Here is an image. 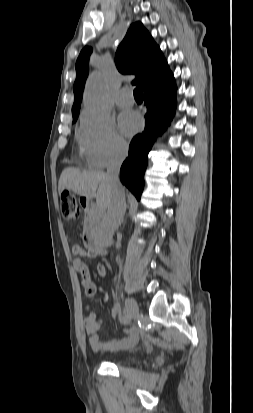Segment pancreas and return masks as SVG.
<instances>
[{
	"mask_svg": "<svg viewBox=\"0 0 253 413\" xmlns=\"http://www.w3.org/2000/svg\"><path fill=\"white\" fill-rule=\"evenodd\" d=\"M99 215H98V213L97 212H88L87 213V217H86V219H85V221L86 222H88V221H92L95 225H98V223H99Z\"/></svg>",
	"mask_w": 253,
	"mask_h": 413,
	"instance_id": "1",
	"label": "pancreas"
}]
</instances>
